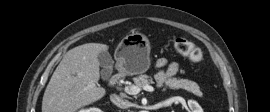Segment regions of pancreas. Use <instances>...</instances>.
I'll use <instances>...</instances> for the list:
<instances>
[{
  "label": "pancreas",
  "mask_w": 270,
  "mask_h": 112,
  "mask_svg": "<svg viewBox=\"0 0 270 112\" xmlns=\"http://www.w3.org/2000/svg\"><path fill=\"white\" fill-rule=\"evenodd\" d=\"M134 82L139 86H147L149 84L154 83L152 78L147 76V75H140L138 77H135ZM157 86L161 87V86H163V84L160 83ZM166 86H169L172 89L182 88V89H185L186 91L191 92L197 96H202V93L199 89V86L191 80L178 79V78H168L166 81Z\"/></svg>",
  "instance_id": "obj_1"
}]
</instances>
